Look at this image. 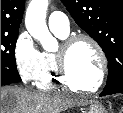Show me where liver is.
I'll return each instance as SVG.
<instances>
[{
    "label": "liver",
    "instance_id": "1",
    "mask_svg": "<svg viewBox=\"0 0 123 113\" xmlns=\"http://www.w3.org/2000/svg\"><path fill=\"white\" fill-rule=\"evenodd\" d=\"M83 101L61 94L32 92L15 86L1 87V113H61Z\"/></svg>",
    "mask_w": 123,
    "mask_h": 113
}]
</instances>
